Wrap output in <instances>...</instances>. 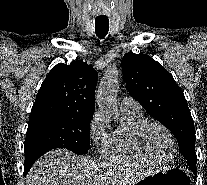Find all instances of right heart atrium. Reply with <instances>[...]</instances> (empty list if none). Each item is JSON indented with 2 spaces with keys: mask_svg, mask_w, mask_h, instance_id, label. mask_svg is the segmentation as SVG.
Instances as JSON below:
<instances>
[{
  "mask_svg": "<svg viewBox=\"0 0 207 185\" xmlns=\"http://www.w3.org/2000/svg\"><path fill=\"white\" fill-rule=\"evenodd\" d=\"M109 116L101 110L96 111L90 121V138L95 141L105 135Z\"/></svg>",
  "mask_w": 207,
  "mask_h": 185,
  "instance_id": "d8ad5b80",
  "label": "right heart atrium"
}]
</instances>
